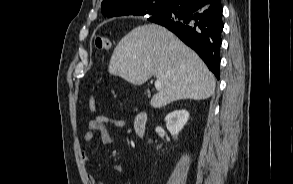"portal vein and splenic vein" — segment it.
Wrapping results in <instances>:
<instances>
[{
	"mask_svg": "<svg viewBox=\"0 0 293 184\" xmlns=\"http://www.w3.org/2000/svg\"><path fill=\"white\" fill-rule=\"evenodd\" d=\"M155 88L156 89H160L161 88V83H160V81L158 79L155 81Z\"/></svg>",
	"mask_w": 293,
	"mask_h": 184,
	"instance_id": "obj_1",
	"label": "portal vein and splenic vein"
}]
</instances>
